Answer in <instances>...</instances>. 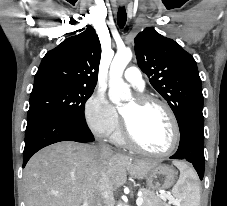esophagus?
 I'll use <instances>...</instances> for the list:
<instances>
[{
	"mask_svg": "<svg viewBox=\"0 0 227 206\" xmlns=\"http://www.w3.org/2000/svg\"><path fill=\"white\" fill-rule=\"evenodd\" d=\"M120 4L123 6L125 4L124 0H121Z\"/></svg>",
	"mask_w": 227,
	"mask_h": 206,
	"instance_id": "esophagus-1",
	"label": "esophagus"
}]
</instances>
